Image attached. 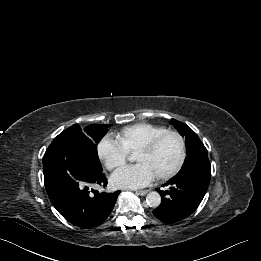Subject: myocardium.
<instances>
[{
    "label": "myocardium",
    "instance_id": "myocardium-1",
    "mask_svg": "<svg viewBox=\"0 0 261 261\" xmlns=\"http://www.w3.org/2000/svg\"><path fill=\"white\" fill-rule=\"evenodd\" d=\"M169 135L175 136L178 139L179 146H180V153H179V157H178L176 164L167 172L157 175L158 179H169V178L173 177L174 175H176L182 168V166L185 162V159H186V145H185V141H184V138L182 137V135L174 130H166V131L158 134L157 136H155L148 143H146L145 145H143L136 151V152H142V153L152 152L158 146L160 141L164 137L169 136Z\"/></svg>",
    "mask_w": 261,
    "mask_h": 261
}]
</instances>
